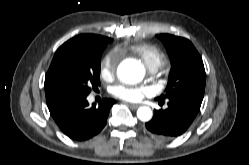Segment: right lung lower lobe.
Segmentation results:
<instances>
[{
  "instance_id": "98d812e1",
  "label": "right lung lower lobe",
  "mask_w": 249,
  "mask_h": 165,
  "mask_svg": "<svg viewBox=\"0 0 249 165\" xmlns=\"http://www.w3.org/2000/svg\"><path fill=\"white\" fill-rule=\"evenodd\" d=\"M87 95L49 92L46 102L51 116L61 131L76 141L97 135L106 125L113 99H103L99 106L89 107Z\"/></svg>"
}]
</instances>
